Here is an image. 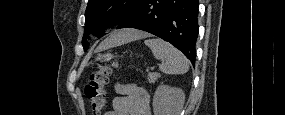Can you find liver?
<instances>
[{"label":"liver","instance_id":"obj_1","mask_svg":"<svg viewBox=\"0 0 285 115\" xmlns=\"http://www.w3.org/2000/svg\"><path fill=\"white\" fill-rule=\"evenodd\" d=\"M148 34L138 30H120L111 34L106 38L96 49V52L107 50L109 48L117 47L134 40H139L147 37Z\"/></svg>","mask_w":285,"mask_h":115}]
</instances>
